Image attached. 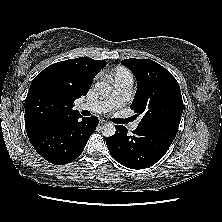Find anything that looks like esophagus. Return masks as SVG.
I'll return each mask as SVG.
<instances>
[{
	"label": "esophagus",
	"mask_w": 222,
	"mask_h": 222,
	"mask_svg": "<svg viewBox=\"0 0 222 222\" xmlns=\"http://www.w3.org/2000/svg\"><path fill=\"white\" fill-rule=\"evenodd\" d=\"M105 123H107L106 120H104V119H101V120H100V124H105Z\"/></svg>",
	"instance_id": "1"
}]
</instances>
